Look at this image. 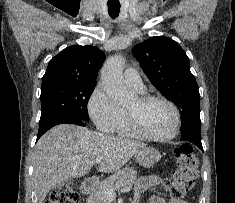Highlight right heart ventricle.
Returning <instances> with one entry per match:
<instances>
[{"mask_svg": "<svg viewBox=\"0 0 235 203\" xmlns=\"http://www.w3.org/2000/svg\"><path fill=\"white\" fill-rule=\"evenodd\" d=\"M122 112V118L114 132L121 137H135L136 135L132 132L128 125L125 110H122Z\"/></svg>", "mask_w": 235, "mask_h": 203, "instance_id": "1", "label": "right heart ventricle"}]
</instances>
